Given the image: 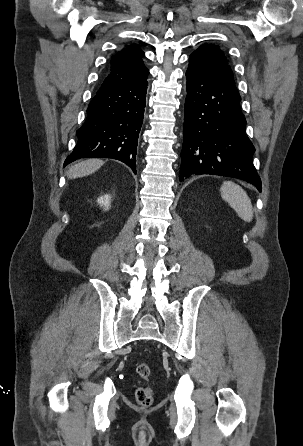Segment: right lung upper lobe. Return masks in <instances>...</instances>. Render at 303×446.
Listing matches in <instances>:
<instances>
[{
	"label": "right lung upper lobe",
	"mask_w": 303,
	"mask_h": 446,
	"mask_svg": "<svg viewBox=\"0 0 303 446\" xmlns=\"http://www.w3.org/2000/svg\"><path fill=\"white\" fill-rule=\"evenodd\" d=\"M143 56L144 52L136 45L124 48L113 55L107 76L100 89L135 81L146 76L148 69L141 59Z\"/></svg>",
	"instance_id": "cb5924a9"
}]
</instances>
